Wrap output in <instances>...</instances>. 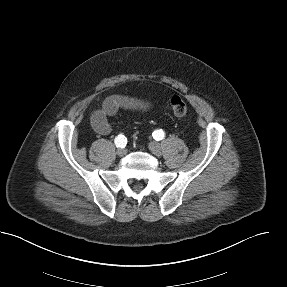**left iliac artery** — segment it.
Returning <instances> with one entry per match:
<instances>
[{
    "label": "left iliac artery",
    "instance_id": "1",
    "mask_svg": "<svg viewBox=\"0 0 287 287\" xmlns=\"http://www.w3.org/2000/svg\"><path fill=\"white\" fill-rule=\"evenodd\" d=\"M153 137L157 141L162 140L165 137V133L162 129H158L153 132Z\"/></svg>",
    "mask_w": 287,
    "mask_h": 287
}]
</instances>
